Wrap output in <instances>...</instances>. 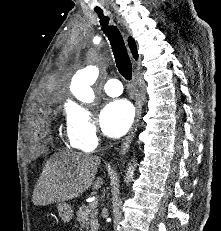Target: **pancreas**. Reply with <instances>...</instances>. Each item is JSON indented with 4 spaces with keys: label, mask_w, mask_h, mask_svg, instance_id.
Wrapping results in <instances>:
<instances>
[{
    "label": "pancreas",
    "mask_w": 221,
    "mask_h": 231,
    "mask_svg": "<svg viewBox=\"0 0 221 231\" xmlns=\"http://www.w3.org/2000/svg\"><path fill=\"white\" fill-rule=\"evenodd\" d=\"M97 213L96 207L83 204L76 212L77 221L81 227L86 228V231H97L99 228Z\"/></svg>",
    "instance_id": "1"
}]
</instances>
